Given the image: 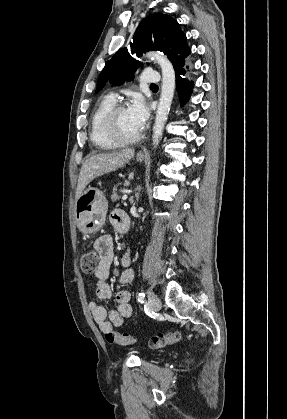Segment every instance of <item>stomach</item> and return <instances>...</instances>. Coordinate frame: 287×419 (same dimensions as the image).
Instances as JSON below:
<instances>
[{"mask_svg": "<svg viewBox=\"0 0 287 419\" xmlns=\"http://www.w3.org/2000/svg\"><path fill=\"white\" fill-rule=\"evenodd\" d=\"M138 162L143 156L136 157ZM108 203L105 195L97 188L88 187L75 203V219L79 229L86 234L97 233L106 221Z\"/></svg>", "mask_w": 287, "mask_h": 419, "instance_id": "0dacf381", "label": "stomach"}]
</instances>
